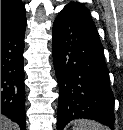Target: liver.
<instances>
[{
  "label": "liver",
  "instance_id": "1",
  "mask_svg": "<svg viewBox=\"0 0 123 130\" xmlns=\"http://www.w3.org/2000/svg\"><path fill=\"white\" fill-rule=\"evenodd\" d=\"M17 126L11 120L1 114V130H17Z\"/></svg>",
  "mask_w": 123,
  "mask_h": 130
}]
</instances>
